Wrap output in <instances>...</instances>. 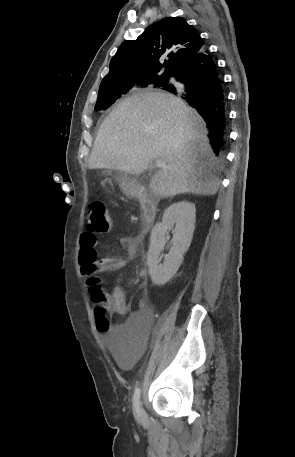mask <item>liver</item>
<instances>
[{"label":"liver","instance_id":"obj_1","mask_svg":"<svg viewBox=\"0 0 295 457\" xmlns=\"http://www.w3.org/2000/svg\"><path fill=\"white\" fill-rule=\"evenodd\" d=\"M207 133L202 117L182 99L160 91L138 93L104 119L88 166L138 175L161 159L165 167L150 182L156 195H214L219 180Z\"/></svg>","mask_w":295,"mask_h":457}]
</instances>
